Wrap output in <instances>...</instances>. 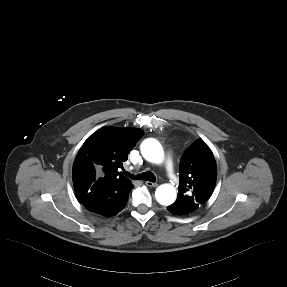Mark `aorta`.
I'll use <instances>...</instances> for the list:
<instances>
[{"instance_id":"1","label":"aorta","mask_w":287,"mask_h":287,"mask_svg":"<svg viewBox=\"0 0 287 287\" xmlns=\"http://www.w3.org/2000/svg\"><path fill=\"white\" fill-rule=\"evenodd\" d=\"M141 154L152 163H161L164 159V151L156 139L148 138L141 144ZM176 190L170 184H162L155 191V198L161 205H171L176 200Z\"/></svg>"}]
</instances>
